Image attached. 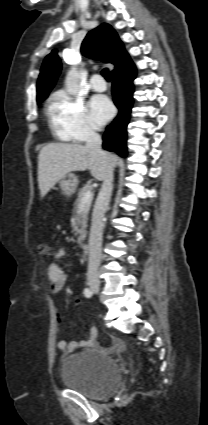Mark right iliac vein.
I'll use <instances>...</instances> for the list:
<instances>
[{
    "instance_id": "1",
    "label": "right iliac vein",
    "mask_w": 208,
    "mask_h": 425,
    "mask_svg": "<svg viewBox=\"0 0 208 425\" xmlns=\"http://www.w3.org/2000/svg\"><path fill=\"white\" fill-rule=\"evenodd\" d=\"M90 288L92 289V291H94L95 293L99 292L100 286L98 283L96 282H91L90 283Z\"/></svg>"
}]
</instances>
